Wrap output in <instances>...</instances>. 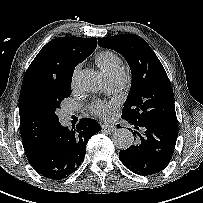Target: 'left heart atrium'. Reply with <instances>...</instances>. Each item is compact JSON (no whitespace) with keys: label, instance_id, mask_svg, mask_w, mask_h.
Returning a JSON list of instances; mask_svg holds the SVG:
<instances>
[{"label":"left heart atrium","instance_id":"obj_1","mask_svg":"<svg viewBox=\"0 0 203 203\" xmlns=\"http://www.w3.org/2000/svg\"><path fill=\"white\" fill-rule=\"evenodd\" d=\"M114 107V102H95L90 106V110L97 116L107 117Z\"/></svg>","mask_w":203,"mask_h":203}]
</instances>
